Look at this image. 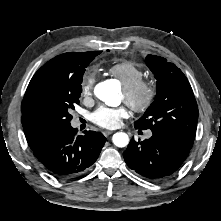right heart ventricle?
Masks as SVG:
<instances>
[{
  "instance_id": "e07e8e85",
  "label": "right heart ventricle",
  "mask_w": 221,
  "mask_h": 221,
  "mask_svg": "<svg viewBox=\"0 0 221 221\" xmlns=\"http://www.w3.org/2000/svg\"><path fill=\"white\" fill-rule=\"evenodd\" d=\"M111 76L118 79L124 86L132 85L143 79L144 72L135 63L130 61H122L111 65L108 68Z\"/></svg>"
}]
</instances>
